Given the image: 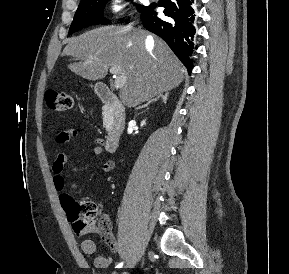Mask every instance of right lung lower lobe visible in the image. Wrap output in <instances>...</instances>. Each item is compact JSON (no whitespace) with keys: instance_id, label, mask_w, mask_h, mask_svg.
Here are the masks:
<instances>
[{"instance_id":"right-lung-lower-lobe-1","label":"right lung lower lobe","mask_w":289,"mask_h":274,"mask_svg":"<svg viewBox=\"0 0 289 274\" xmlns=\"http://www.w3.org/2000/svg\"><path fill=\"white\" fill-rule=\"evenodd\" d=\"M193 4L194 0H159L158 4L152 3L141 12L144 27L170 46L189 73L193 69V62L189 59L195 34ZM157 6L165 8V18L157 17L154 11Z\"/></svg>"}]
</instances>
